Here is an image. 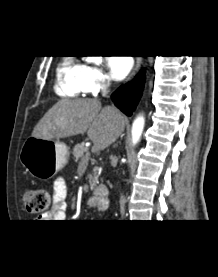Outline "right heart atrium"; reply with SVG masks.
<instances>
[{"mask_svg":"<svg viewBox=\"0 0 218 277\" xmlns=\"http://www.w3.org/2000/svg\"><path fill=\"white\" fill-rule=\"evenodd\" d=\"M85 92H93L107 86L108 78L99 66L85 65L83 73Z\"/></svg>","mask_w":218,"mask_h":277,"instance_id":"1","label":"right heart atrium"}]
</instances>
